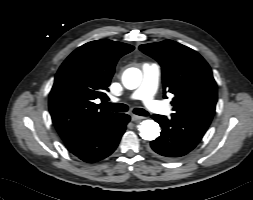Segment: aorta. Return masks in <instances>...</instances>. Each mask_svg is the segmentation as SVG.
Here are the masks:
<instances>
[{
	"label": "aorta",
	"instance_id": "aorta-1",
	"mask_svg": "<svg viewBox=\"0 0 253 200\" xmlns=\"http://www.w3.org/2000/svg\"><path fill=\"white\" fill-rule=\"evenodd\" d=\"M142 74L137 68L127 69L122 77L123 85L127 89H135L141 82ZM139 134L145 140H155L160 135V127L153 120H144L139 126Z\"/></svg>",
	"mask_w": 253,
	"mask_h": 200
}]
</instances>
